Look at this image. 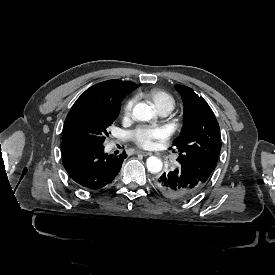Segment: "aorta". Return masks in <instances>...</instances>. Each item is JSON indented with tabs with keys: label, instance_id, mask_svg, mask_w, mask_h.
<instances>
[{
	"label": "aorta",
	"instance_id": "obj_1",
	"mask_svg": "<svg viewBox=\"0 0 275 275\" xmlns=\"http://www.w3.org/2000/svg\"><path fill=\"white\" fill-rule=\"evenodd\" d=\"M133 117L139 121H149L155 116L152 107L146 103H138L133 108ZM147 169L150 173L155 174L162 170L163 163L156 156H150L146 161Z\"/></svg>",
	"mask_w": 275,
	"mask_h": 275
}]
</instances>
